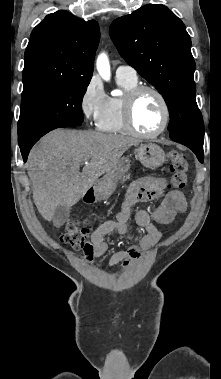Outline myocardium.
Segmentation results:
<instances>
[{"instance_id": "f54148a6", "label": "myocardium", "mask_w": 221, "mask_h": 379, "mask_svg": "<svg viewBox=\"0 0 221 379\" xmlns=\"http://www.w3.org/2000/svg\"><path fill=\"white\" fill-rule=\"evenodd\" d=\"M153 93L160 102L162 109V122L160 127L152 133H144L137 129L134 122V106L138 97L145 93ZM123 118L126 129L131 134L140 138L152 139L161 135L167 128L170 120V110L166 98L157 88L150 85H137L129 90L123 100Z\"/></svg>"}]
</instances>
